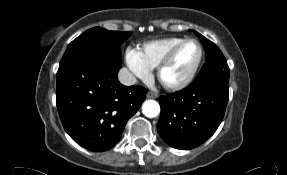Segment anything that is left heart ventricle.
I'll return each mask as SVG.
<instances>
[{
  "instance_id": "left-heart-ventricle-1",
  "label": "left heart ventricle",
  "mask_w": 287,
  "mask_h": 175,
  "mask_svg": "<svg viewBox=\"0 0 287 175\" xmlns=\"http://www.w3.org/2000/svg\"><path fill=\"white\" fill-rule=\"evenodd\" d=\"M198 56V45L193 42L186 44L177 53L172 63L164 70L163 79L171 83L181 81L190 73L197 62Z\"/></svg>"
}]
</instances>
